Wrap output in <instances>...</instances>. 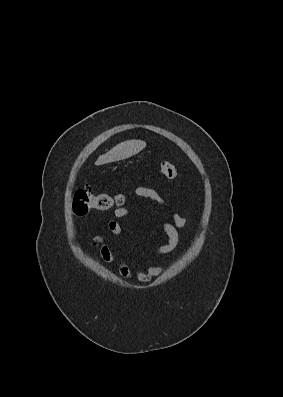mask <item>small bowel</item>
<instances>
[{
    "instance_id": "obj_1",
    "label": "small bowel",
    "mask_w": 283,
    "mask_h": 397,
    "mask_svg": "<svg viewBox=\"0 0 283 397\" xmlns=\"http://www.w3.org/2000/svg\"><path fill=\"white\" fill-rule=\"evenodd\" d=\"M134 195L151 200L168 213L170 220L160 221V226L167 237V242L157 246L156 253L159 255L171 253L179 243L178 229L186 225L187 219L173 211L154 189L147 187H137L134 190ZM113 215L114 218L108 221L107 228L113 235L118 236L123 232L122 226L118 219L130 217L132 215V211L126 207H118L114 210ZM92 244L99 248L101 258L105 262L116 263L119 274L125 279L134 277L142 283H148L155 277L161 275L164 271V268L161 266L148 265L138 269L135 273H133L129 265L120 259L118 255L110 248L102 235L94 236L92 239Z\"/></svg>"
}]
</instances>
